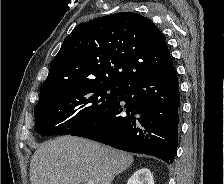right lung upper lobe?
Segmentation results:
<instances>
[{"instance_id": "right-lung-upper-lobe-1", "label": "right lung upper lobe", "mask_w": 224, "mask_h": 184, "mask_svg": "<svg viewBox=\"0 0 224 184\" xmlns=\"http://www.w3.org/2000/svg\"><path fill=\"white\" fill-rule=\"evenodd\" d=\"M173 68L166 41L150 19L133 12L99 17L77 25L65 38L39 102L83 83L123 85Z\"/></svg>"}]
</instances>
